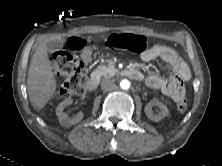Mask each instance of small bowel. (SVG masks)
<instances>
[{
    "instance_id": "obj_1",
    "label": "small bowel",
    "mask_w": 222,
    "mask_h": 166,
    "mask_svg": "<svg viewBox=\"0 0 222 166\" xmlns=\"http://www.w3.org/2000/svg\"><path fill=\"white\" fill-rule=\"evenodd\" d=\"M156 58L166 62L171 67L173 75L166 79L156 74H150L146 77L145 83L149 88L160 90L177 103L185 97L184 84L191 77L190 69L178 52L166 45H155L141 53L143 61L148 62Z\"/></svg>"
}]
</instances>
